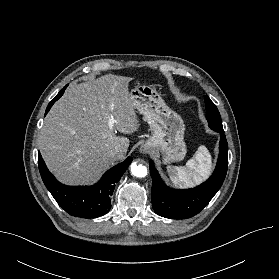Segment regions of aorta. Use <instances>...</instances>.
Masks as SVG:
<instances>
[{"label": "aorta", "mask_w": 279, "mask_h": 279, "mask_svg": "<svg viewBox=\"0 0 279 279\" xmlns=\"http://www.w3.org/2000/svg\"><path fill=\"white\" fill-rule=\"evenodd\" d=\"M131 173L136 177H145L147 175V169L143 165H138L136 162L131 164Z\"/></svg>", "instance_id": "762f6f07"}]
</instances>
